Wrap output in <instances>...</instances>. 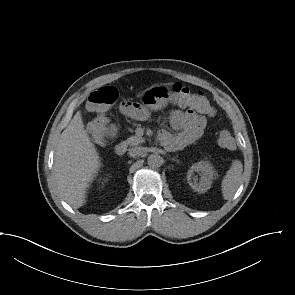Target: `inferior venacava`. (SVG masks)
Masks as SVG:
<instances>
[{
	"label": "inferior vena cava",
	"instance_id": "1",
	"mask_svg": "<svg viewBox=\"0 0 295 295\" xmlns=\"http://www.w3.org/2000/svg\"><path fill=\"white\" fill-rule=\"evenodd\" d=\"M143 151L142 147H133L129 149V155L132 157H139L143 154Z\"/></svg>",
	"mask_w": 295,
	"mask_h": 295
}]
</instances>
